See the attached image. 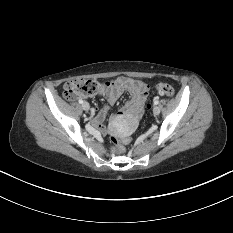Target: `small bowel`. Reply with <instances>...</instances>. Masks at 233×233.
<instances>
[{
	"instance_id": "c3829d8e",
	"label": "small bowel",
	"mask_w": 233,
	"mask_h": 233,
	"mask_svg": "<svg viewBox=\"0 0 233 233\" xmlns=\"http://www.w3.org/2000/svg\"><path fill=\"white\" fill-rule=\"evenodd\" d=\"M149 86L140 80L120 76L113 81L106 82L103 95L107 104L97 113L93 111V121L95 125L103 129L101 122L104 120L111 106H113L119 97L128 92L130 99L127 101L120 116L127 115L132 120H138L143 112V107L148 96Z\"/></svg>"
}]
</instances>
